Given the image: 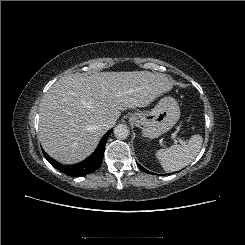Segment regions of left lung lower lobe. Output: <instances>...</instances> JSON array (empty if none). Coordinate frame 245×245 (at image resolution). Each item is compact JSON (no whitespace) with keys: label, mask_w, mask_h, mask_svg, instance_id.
<instances>
[{"label":"left lung lower lobe","mask_w":245,"mask_h":245,"mask_svg":"<svg viewBox=\"0 0 245 245\" xmlns=\"http://www.w3.org/2000/svg\"><path fill=\"white\" fill-rule=\"evenodd\" d=\"M138 166H139L144 172L150 173L148 170H146L145 168H143L141 165L138 164ZM152 174H153V173H152Z\"/></svg>","instance_id":"1"}]
</instances>
